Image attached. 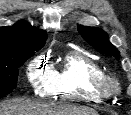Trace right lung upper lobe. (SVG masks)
Masks as SVG:
<instances>
[{"instance_id": "right-lung-upper-lobe-1", "label": "right lung upper lobe", "mask_w": 131, "mask_h": 115, "mask_svg": "<svg viewBox=\"0 0 131 115\" xmlns=\"http://www.w3.org/2000/svg\"><path fill=\"white\" fill-rule=\"evenodd\" d=\"M47 39L44 30L35 28L25 21L13 26L0 27V64L23 51L39 50Z\"/></svg>"}]
</instances>
